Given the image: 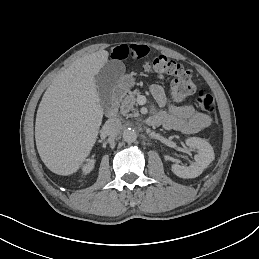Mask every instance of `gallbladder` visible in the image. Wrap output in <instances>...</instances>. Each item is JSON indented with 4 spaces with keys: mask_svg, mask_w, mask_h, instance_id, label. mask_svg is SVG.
I'll use <instances>...</instances> for the list:
<instances>
[{
    "mask_svg": "<svg viewBox=\"0 0 259 259\" xmlns=\"http://www.w3.org/2000/svg\"><path fill=\"white\" fill-rule=\"evenodd\" d=\"M125 73L124 64L119 60H111L105 63L95 76L98 95L103 109L112 105V92Z\"/></svg>",
    "mask_w": 259,
    "mask_h": 259,
    "instance_id": "1",
    "label": "gallbladder"
}]
</instances>
